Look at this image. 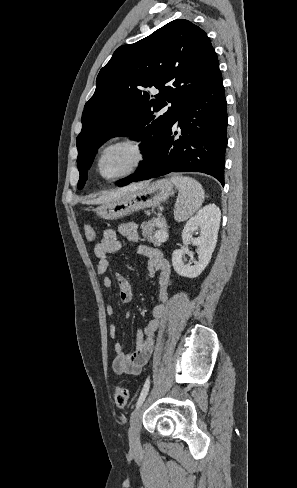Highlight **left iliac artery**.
<instances>
[{
	"mask_svg": "<svg viewBox=\"0 0 297 488\" xmlns=\"http://www.w3.org/2000/svg\"><path fill=\"white\" fill-rule=\"evenodd\" d=\"M149 386H150V380L149 378L145 381L144 383V386L142 388V391L140 393V396L138 398V401H137V404H136V407L138 408L145 400L147 394H148V391H149Z\"/></svg>",
	"mask_w": 297,
	"mask_h": 488,
	"instance_id": "obj_1",
	"label": "left iliac artery"
}]
</instances>
